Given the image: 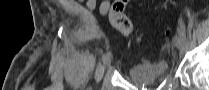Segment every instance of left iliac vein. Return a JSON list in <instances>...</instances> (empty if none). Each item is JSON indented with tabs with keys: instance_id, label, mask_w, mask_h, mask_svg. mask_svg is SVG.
I'll list each match as a JSON object with an SVG mask.
<instances>
[{
	"instance_id": "obj_1",
	"label": "left iliac vein",
	"mask_w": 209,
	"mask_h": 90,
	"mask_svg": "<svg viewBox=\"0 0 209 90\" xmlns=\"http://www.w3.org/2000/svg\"><path fill=\"white\" fill-rule=\"evenodd\" d=\"M175 45L179 49L180 53L185 51V40L181 37L175 39Z\"/></svg>"
}]
</instances>
